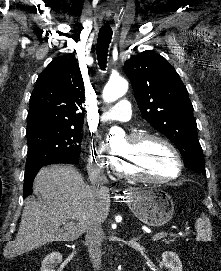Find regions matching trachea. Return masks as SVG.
<instances>
[{
  "instance_id": "trachea-1",
  "label": "trachea",
  "mask_w": 221,
  "mask_h": 271,
  "mask_svg": "<svg viewBox=\"0 0 221 271\" xmlns=\"http://www.w3.org/2000/svg\"><path fill=\"white\" fill-rule=\"evenodd\" d=\"M112 39V29L110 27H102L99 30L97 39V59L98 64L102 70L106 68L108 48Z\"/></svg>"
}]
</instances>
